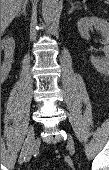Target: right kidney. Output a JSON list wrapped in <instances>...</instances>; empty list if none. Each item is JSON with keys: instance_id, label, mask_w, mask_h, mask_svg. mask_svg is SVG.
Returning <instances> with one entry per match:
<instances>
[{"instance_id": "ca27d5eb", "label": "right kidney", "mask_w": 109, "mask_h": 170, "mask_svg": "<svg viewBox=\"0 0 109 170\" xmlns=\"http://www.w3.org/2000/svg\"><path fill=\"white\" fill-rule=\"evenodd\" d=\"M1 47L4 50V62L1 65V76L4 80L11 70L15 41L12 38H5L1 41Z\"/></svg>"}]
</instances>
